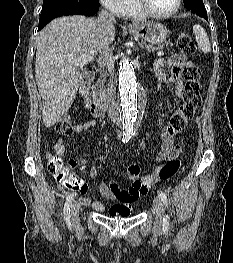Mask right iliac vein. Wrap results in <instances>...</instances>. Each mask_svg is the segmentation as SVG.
I'll return each instance as SVG.
<instances>
[{
    "label": "right iliac vein",
    "instance_id": "obj_1",
    "mask_svg": "<svg viewBox=\"0 0 233 263\" xmlns=\"http://www.w3.org/2000/svg\"><path fill=\"white\" fill-rule=\"evenodd\" d=\"M79 209H80V204L78 202H74L71 207V220L74 225H78L80 222Z\"/></svg>",
    "mask_w": 233,
    "mask_h": 263
}]
</instances>
